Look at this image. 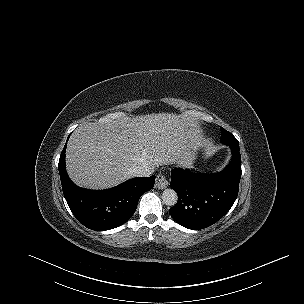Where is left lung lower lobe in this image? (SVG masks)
<instances>
[{
    "instance_id": "obj_1",
    "label": "left lung lower lobe",
    "mask_w": 304,
    "mask_h": 304,
    "mask_svg": "<svg viewBox=\"0 0 304 304\" xmlns=\"http://www.w3.org/2000/svg\"><path fill=\"white\" fill-rule=\"evenodd\" d=\"M229 145L231 162L219 173L198 174L188 169L171 171L170 187L178 202L169 210L172 218L193 230L207 228L220 220L234 204L241 178L239 144Z\"/></svg>"
}]
</instances>
